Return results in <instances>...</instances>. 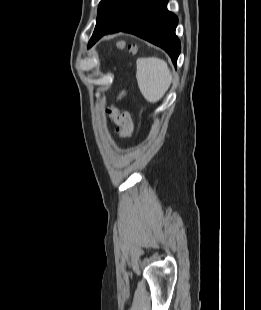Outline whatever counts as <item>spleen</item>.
<instances>
[{
	"instance_id": "1",
	"label": "spleen",
	"mask_w": 261,
	"mask_h": 310,
	"mask_svg": "<svg viewBox=\"0 0 261 310\" xmlns=\"http://www.w3.org/2000/svg\"><path fill=\"white\" fill-rule=\"evenodd\" d=\"M136 65V78L142 95L150 103L159 101L172 81L167 64L161 59L147 57L137 59Z\"/></svg>"
}]
</instances>
